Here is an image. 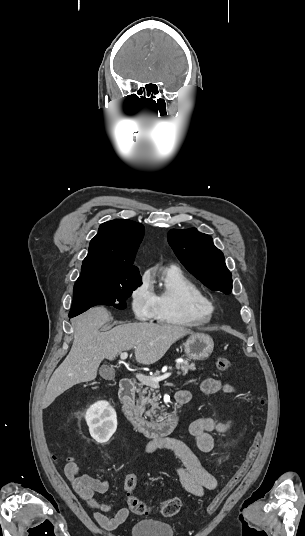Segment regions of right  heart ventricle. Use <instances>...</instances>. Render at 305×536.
I'll return each instance as SVG.
<instances>
[{"instance_id":"e07e8e85","label":"right heart ventricle","mask_w":305,"mask_h":536,"mask_svg":"<svg viewBox=\"0 0 305 536\" xmlns=\"http://www.w3.org/2000/svg\"><path fill=\"white\" fill-rule=\"evenodd\" d=\"M151 289L158 322L196 327L211 321L206 311V295L180 269L169 267L162 270Z\"/></svg>"}]
</instances>
